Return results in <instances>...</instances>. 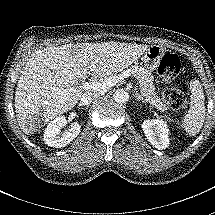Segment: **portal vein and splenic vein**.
I'll return each instance as SVG.
<instances>
[{
	"instance_id": "1",
	"label": "portal vein and splenic vein",
	"mask_w": 215,
	"mask_h": 215,
	"mask_svg": "<svg viewBox=\"0 0 215 215\" xmlns=\"http://www.w3.org/2000/svg\"><path fill=\"white\" fill-rule=\"evenodd\" d=\"M130 75L131 73L128 70H126L117 76L108 77L101 82L89 79V81L84 82L81 87L82 88L91 87L93 89L107 90L110 87L116 85L120 80L125 79Z\"/></svg>"
}]
</instances>
